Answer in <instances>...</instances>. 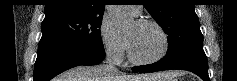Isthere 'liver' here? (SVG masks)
<instances>
[{
  "mask_svg": "<svg viewBox=\"0 0 237 81\" xmlns=\"http://www.w3.org/2000/svg\"><path fill=\"white\" fill-rule=\"evenodd\" d=\"M159 74L124 75L120 72L110 73L106 65L74 67L56 78V81H151Z\"/></svg>",
  "mask_w": 237,
  "mask_h": 81,
  "instance_id": "liver-1",
  "label": "liver"
}]
</instances>
